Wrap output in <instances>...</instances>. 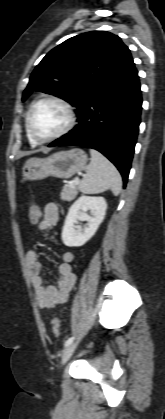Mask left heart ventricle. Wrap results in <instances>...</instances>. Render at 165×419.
Instances as JSON below:
<instances>
[{"label":"left heart ventricle","instance_id":"b2bd125f","mask_svg":"<svg viewBox=\"0 0 165 419\" xmlns=\"http://www.w3.org/2000/svg\"><path fill=\"white\" fill-rule=\"evenodd\" d=\"M67 122L64 109L53 102H43L36 106L32 115V126L41 138H47L60 131Z\"/></svg>","mask_w":165,"mask_h":419}]
</instances>
